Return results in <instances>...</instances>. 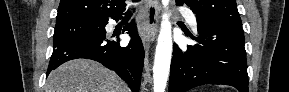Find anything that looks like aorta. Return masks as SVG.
<instances>
[{"mask_svg": "<svg viewBox=\"0 0 289 92\" xmlns=\"http://www.w3.org/2000/svg\"><path fill=\"white\" fill-rule=\"evenodd\" d=\"M169 0H162L165 12L162 15L153 68L154 92H164L169 76L172 55V33L169 13L166 11Z\"/></svg>", "mask_w": 289, "mask_h": 92, "instance_id": "aorta-1", "label": "aorta"}]
</instances>
